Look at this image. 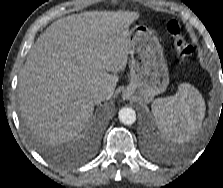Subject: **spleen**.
Returning a JSON list of instances; mask_svg holds the SVG:
<instances>
[{
  "label": "spleen",
  "instance_id": "3e777b00",
  "mask_svg": "<svg viewBox=\"0 0 223 188\" xmlns=\"http://www.w3.org/2000/svg\"><path fill=\"white\" fill-rule=\"evenodd\" d=\"M152 112L162 133L183 143L201 128L205 102L194 86L182 83L175 95L155 99Z\"/></svg>",
  "mask_w": 223,
  "mask_h": 188
}]
</instances>
